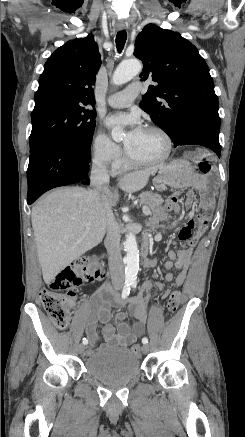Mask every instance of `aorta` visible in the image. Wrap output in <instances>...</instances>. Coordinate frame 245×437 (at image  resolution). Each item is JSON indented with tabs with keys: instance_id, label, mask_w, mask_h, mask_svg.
Segmentation results:
<instances>
[{
	"instance_id": "aorta-1",
	"label": "aorta",
	"mask_w": 245,
	"mask_h": 437,
	"mask_svg": "<svg viewBox=\"0 0 245 437\" xmlns=\"http://www.w3.org/2000/svg\"><path fill=\"white\" fill-rule=\"evenodd\" d=\"M142 70V65L138 60H129L121 63L112 76V82L115 85H122L130 81ZM124 132L120 128L112 130V138L115 141L122 140ZM124 250L126 255L124 257V263L126 264L125 279L127 282L136 281L139 270V250L137 246L136 236L132 232L126 235L124 241Z\"/></svg>"
}]
</instances>
